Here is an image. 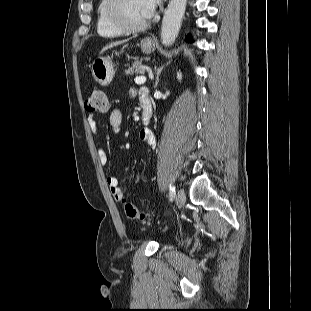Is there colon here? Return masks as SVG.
<instances>
[{"label": "colon", "mask_w": 311, "mask_h": 311, "mask_svg": "<svg viewBox=\"0 0 311 311\" xmlns=\"http://www.w3.org/2000/svg\"><path fill=\"white\" fill-rule=\"evenodd\" d=\"M108 108L109 103L106 91L103 88H94L86 101V109L90 112L105 113ZM123 208L126 216L132 220L141 221L143 223L150 221V216L148 214L141 212L129 201H123Z\"/></svg>", "instance_id": "colon-1"}]
</instances>
